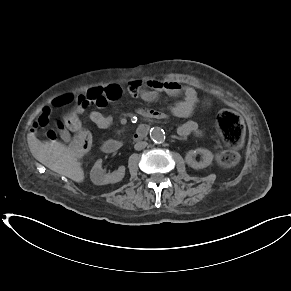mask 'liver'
<instances>
[{
	"label": "liver",
	"instance_id": "liver-1",
	"mask_svg": "<svg viewBox=\"0 0 291 291\" xmlns=\"http://www.w3.org/2000/svg\"><path fill=\"white\" fill-rule=\"evenodd\" d=\"M28 145L32 155L52 171L78 183L84 181V170L72 147L58 141L41 142L34 136L28 139Z\"/></svg>",
	"mask_w": 291,
	"mask_h": 291
}]
</instances>
